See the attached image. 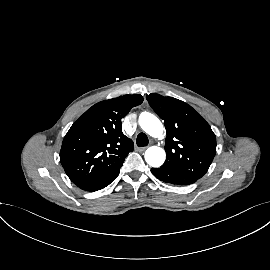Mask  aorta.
<instances>
[{"mask_svg":"<svg viewBox=\"0 0 270 270\" xmlns=\"http://www.w3.org/2000/svg\"><path fill=\"white\" fill-rule=\"evenodd\" d=\"M140 127L150 136L161 138L163 136V125L161 121L153 114L143 112L139 116ZM166 158L164 149L158 146L149 147L145 151V161L152 167H160Z\"/></svg>","mask_w":270,"mask_h":270,"instance_id":"1","label":"aorta"}]
</instances>
